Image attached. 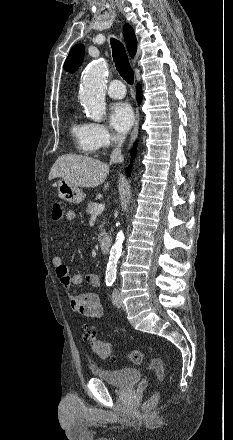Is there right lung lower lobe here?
Listing matches in <instances>:
<instances>
[{
    "instance_id": "right-lung-lower-lobe-1",
    "label": "right lung lower lobe",
    "mask_w": 233,
    "mask_h": 440,
    "mask_svg": "<svg viewBox=\"0 0 233 440\" xmlns=\"http://www.w3.org/2000/svg\"><path fill=\"white\" fill-rule=\"evenodd\" d=\"M137 97H138V100L140 101V99H141V88H140V85H138V88H137ZM135 154H136V145H134V148L131 151L132 157H135ZM125 172H126V174L128 176H130V174H131V164L129 165L128 168H126Z\"/></svg>"
}]
</instances>
